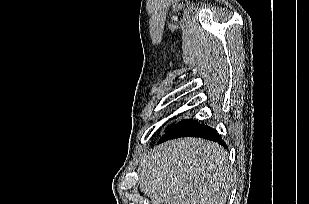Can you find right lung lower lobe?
<instances>
[{"label":"right lung lower lobe","instance_id":"1","mask_svg":"<svg viewBox=\"0 0 309 204\" xmlns=\"http://www.w3.org/2000/svg\"><path fill=\"white\" fill-rule=\"evenodd\" d=\"M179 137H201L204 139L218 142L221 145L227 147L218 135L215 129L209 126L201 125L193 119H185L171 127L158 141L159 143L165 142Z\"/></svg>","mask_w":309,"mask_h":204}]
</instances>
